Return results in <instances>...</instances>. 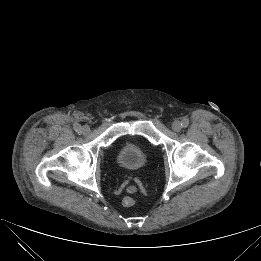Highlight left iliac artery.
<instances>
[{
	"instance_id": "1",
	"label": "left iliac artery",
	"mask_w": 261,
	"mask_h": 261,
	"mask_svg": "<svg viewBox=\"0 0 261 261\" xmlns=\"http://www.w3.org/2000/svg\"><path fill=\"white\" fill-rule=\"evenodd\" d=\"M182 127L186 128L189 125V120L188 119H183L181 122Z\"/></svg>"
}]
</instances>
